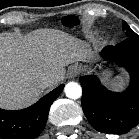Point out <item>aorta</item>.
I'll list each match as a JSON object with an SVG mask.
<instances>
[{
  "label": "aorta",
  "mask_w": 139,
  "mask_h": 139,
  "mask_svg": "<svg viewBox=\"0 0 139 139\" xmlns=\"http://www.w3.org/2000/svg\"><path fill=\"white\" fill-rule=\"evenodd\" d=\"M65 94L70 99H78L82 95V88L76 82H69L64 88Z\"/></svg>",
  "instance_id": "aorta-1"
}]
</instances>
